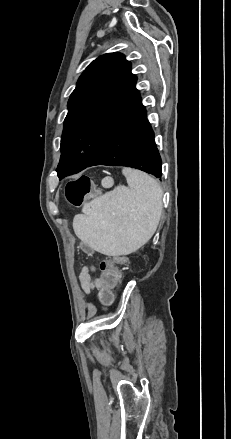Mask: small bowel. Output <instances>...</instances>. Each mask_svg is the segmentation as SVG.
<instances>
[{"mask_svg": "<svg viewBox=\"0 0 231 439\" xmlns=\"http://www.w3.org/2000/svg\"><path fill=\"white\" fill-rule=\"evenodd\" d=\"M95 271L94 267L90 268H83V270L80 273L79 280L81 287L85 293H90L93 290H97L99 292V289L102 287L105 282H102L98 277L92 278L91 273Z\"/></svg>", "mask_w": 231, "mask_h": 439, "instance_id": "1", "label": "small bowel"}]
</instances>
